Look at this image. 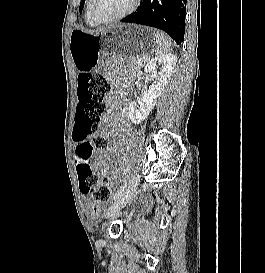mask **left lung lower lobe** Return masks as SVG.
Here are the masks:
<instances>
[{"label": "left lung lower lobe", "mask_w": 265, "mask_h": 273, "mask_svg": "<svg viewBox=\"0 0 265 273\" xmlns=\"http://www.w3.org/2000/svg\"><path fill=\"white\" fill-rule=\"evenodd\" d=\"M186 0H143L135 13L121 20L165 31L177 44L184 41Z\"/></svg>", "instance_id": "0a47b994"}]
</instances>
